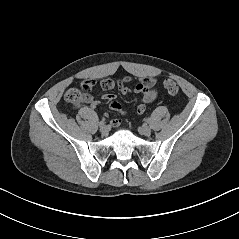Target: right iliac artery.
<instances>
[{
  "mask_svg": "<svg viewBox=\"0 0 239 239\" xmlns=\"http://www.w3.org/2000/svg\"><path fill=\"white\" fill-rule=\"evenodd\" d=\"M104 124H105V120H104V119L99 122V126H100V127H101L102 125H104Z\"/></svg>",
  "mask_w": 239,
  "mask_h": 239,
  "instance_id": "obj_1",
  "label": "right iliac artery"
}]
</instances>
